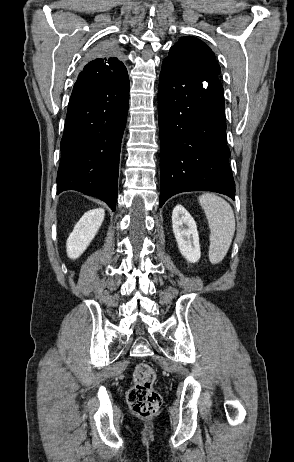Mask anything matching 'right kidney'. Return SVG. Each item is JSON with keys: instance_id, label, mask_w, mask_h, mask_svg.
Wrapping results in <instances>:
<instances>
[{"instance_id": "obj_1", "label": "right kidney", "mask_w": 294, "mask_h": 462, "mask_svg": "<svg viewBox=\"0 0 294 462\" xmlns=\"http://www.w3.org/2000/svg\"><path fill=\"white\" fill-rule=\"evenodd\" d=\"M104 215V209L97 208L89 210L80 218L66 242L69 258L76 259L87 249L97 234Z\"/></svg>"}]
</instances>
